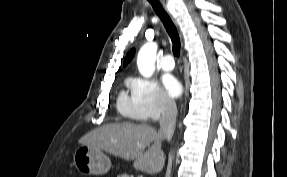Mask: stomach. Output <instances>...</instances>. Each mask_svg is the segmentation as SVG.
<instances>
[{
	"label": "stomach",
	"mask_w": 287,
	"mask_h": 177,
	"mask_svg": "<svg viewBox=\"0 0 287 177\" xmlns=\"http://www.w3.org/2000/svg\"><path fill=\"white\" fill-rule=\"evenodd\" d=\"M74 165L83 175H102L109 171L111 161L102 150L81 145L74 153Z\"/></svg>",
	"instance_id": "stomach-1"
}]
</instances>
